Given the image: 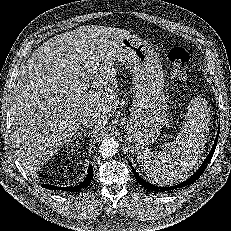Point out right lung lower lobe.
Instances as JSON below:
<instances>
[{"label": "right lung lower lobe", "mask_w": 231, "mask_h": 231, "mask_svg": "<svg viewBox=\"0 0 231 231\" xmlns=\"http://www.w3.org/2000/svg\"><path fill=\"white\" fill-rule=\"evenodd\" d=\"M92 179H93V168L90 165L86 179L79 185L71 186V187H57L54 185L43 184L42 186L44 188L51 189V190H65V191H69V192H76V191L88 186Z\"/></svg>", "instance_id": "right-lung-lower-lobe-1"}]
</instances>
